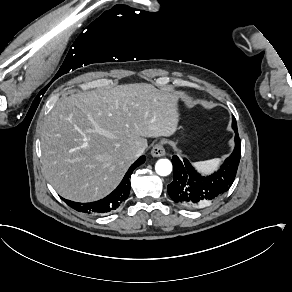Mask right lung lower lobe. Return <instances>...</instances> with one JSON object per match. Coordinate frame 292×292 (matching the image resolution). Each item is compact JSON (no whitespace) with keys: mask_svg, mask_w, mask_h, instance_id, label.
<instances>
[{"mask_svg":"<svg viewBox=\"0 0 292 292\" xmlns=\"http://www.w3.org/2000/svg\"><path fill=\"white\" fill-rule=\"evenodd\" d=\"M145 162V156H141L134 162L119 186L107 197L90 203H78L62 198V200L71 208L87 214L107 213L118 208L129 196L130 181L129 178L137 166Z\"/></svg>","mask_w":292,"mask_h":292,"instance_id":"right-lung-lower-lobe-1","label":"right lung lower lobe"}]
</instances>
